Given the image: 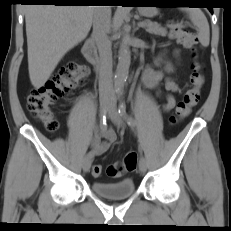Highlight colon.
<instances>
[{"instance_id": "1", "label": "colon", "mask_w": 231, "mask_h": 231, "mask_svg": "<svg viewBox=\"0 0 231 231\" xmlns=\"http://www.w3.org/2000/svg\"><path fill=\"white\" fill-rule=\"evenodd\" d=\"M169 35L172 39L192 51L191 87L186 91L182 100L176 106L170 122L177 124L189 115L192 108L197 105L204 85L203 65L198 60L197 50L199 41L193 32L188 30L177 20H170L167 24ZM88 76V68L80 63L71 62L56 72L43 86L33 89L27 98V107L33 117L38 119L45 128L56 133L59 122L54 117L52 108L54 104L72 89L82 84ZM138 157L135 152H128L121 162H116L107 167V174L111 177H121L125 172L134 171L137 167ZM102 167L95 165L92 175L99 177Z\"/></svg>"}]
</instances>
